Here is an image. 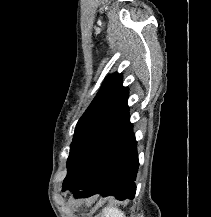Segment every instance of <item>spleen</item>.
<instances>
[{"instance_id":"3e777b00","label":"spleen","mask_w":211,"mask_h":217,"mask_svg":"<svg viewBox=\"0 0 211 217\" xmlns=\"http://www.w3.org/2000/svg\"><path fill=\"white\" fill-rule=\"evenodd\" d=\"M102 217H125V215L118 208L106 207L102 210Z\"/></svg>"}]
</instances>
